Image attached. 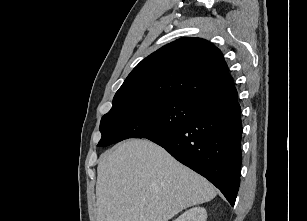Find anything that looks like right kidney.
I'll return each mask as SVG.
<instances>
[{"label": "right kidney", "instance_id": "ca27d5eb", "mask_svg": "<svg viewBox=\"0 0 307 221\" xmlns=\"http://www.w3.org/2000/svg\"><path fill=\"white\" fill-rule=\"evenodd\" d=\"M206 219V210L202 207H195L185 211L174 221H206Z\"/></svg>", "mask_w": 307, "mask_h": 221}]
</instances>
